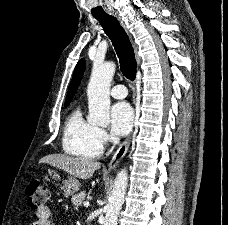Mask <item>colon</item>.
<instances>
[{"mask_svg": "<svg viewBox=\"0 0 228 225\" xmlns=\"http://www.w3.org/2000/svg\"><path fill=\"white\" fill-rule=\"evenodd\" d=\"M26 195L31 208L42 211L45 207V202L50 200L47 185L38 180H32L27 184Z\"/></svg>", "mask_w": 228, "mask_h": 225, "instance_id": "colon-1", "label": "colon"}]
</instances>
